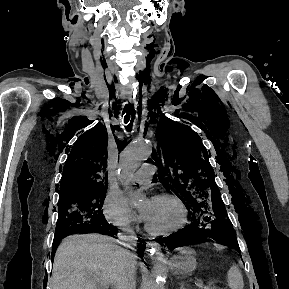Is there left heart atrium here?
<instances>
[{
  "label": "left heart atrium",
  "instance_id": "obj_1",
  "mask_svg": "<svg viewBox=\"0 0 289 289\" xmlns=\"http://www.w3.org/2000/svg\"><path fill=\"white\" fill-rule=\"evenodd\" d=\"M153 200L154 199H151V198L147 199L144 205L141 207L140 212H139V218L141 220H144V221L147 220L150 210L152 208Z\"/></svg>",
  "mask_w": 289,
  "mask_h": 289
}]
</instances>
